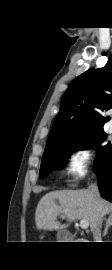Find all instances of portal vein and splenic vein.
Returning a JSON list of instances; mask_svg holds the SVG:
<instances>
[{"label": "portal vein and splenic vein", "instance_id": "obj_1", "mask_svg": "<svg viewBox=\"0 0 112 270\" xmlns=\"http://www.w3.org/2000/svg\"><path fill=\"white\" fill-rule=\"evenodd\" d=\"M80 227L82 229H87L89 227V222L85 219L80 220Z\"/></svg>", "mask_w": 112, "mask_h": 270}]
</instances>
